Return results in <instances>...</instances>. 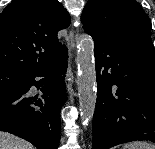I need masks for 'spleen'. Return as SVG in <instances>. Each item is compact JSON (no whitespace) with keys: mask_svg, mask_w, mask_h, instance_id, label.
<instances>
[{"mask_svg":"<svg viewBox=\"0 0 155 149\" xmlns=\"http://www.w3.org/2000/svg\"><path fill=\"white\" fill-rule=\"evenodd\" d=\"M122 149H155V145L144 141H136L123 145Z\"/></svg>","mask_w":155,"mask_h":149,"instance_id":"spleen-1","label":"spleen"}]
</instances>
